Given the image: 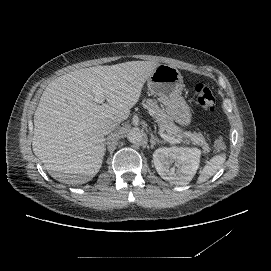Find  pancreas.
<instances>
[{
  "label": "pancreas",
  "instance_id": "1",
  "mask_svg": "<svg viewBox=\"0 0 271 271\" xmlns=\"http://www.w3.org/2000/svg\"><path fill=\"white\" fill-rule=\"evenodd\" d=\"M143 107L156 119L160 131L165 132L169 136L176 137L180 141L186 142L187 139H189L193 143L201 146L204 153L210 151V148L201 133L183 132L180 127L174 124L173 118L157 105L156 101L148 99L146 100V103L143 104Z\"/></svg>",
  "mask_w": 271,
  "mask_h": 271
}]
</instances>
